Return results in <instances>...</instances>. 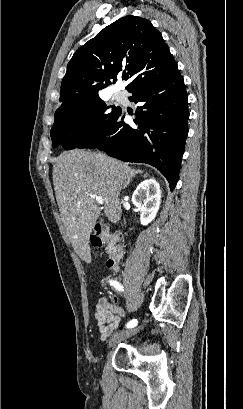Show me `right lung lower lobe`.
<instances>
[{"instance_id":"98d812e1","label":"right lung lower lobe","mask_w":243,"mask_h":409,"mask_svg":"<svg viewBox=\"0 0 243 409\" xmlns=\"http://www.w3.org/2000/svg\"><path fill=\"white\" fill-rule=\"evenodd\" d=\"M128 92L130 100L141 103L135 125L124 123L121 109L112 121L76 148H99L128 162L156 167L173 190L181 167L188 134V95L178 67L170 73L140 83Z\"/></svg>"}]
</instances>
